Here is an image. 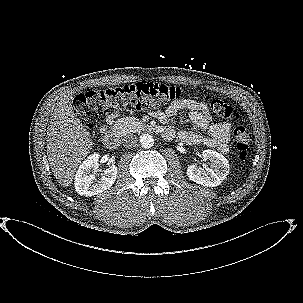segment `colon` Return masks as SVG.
<instances>
[{"label":"colon","mask_w":303,"mask_h":303,"mask_svg":"<svg viewBox=\"0 0 303 303\" xmlns=\"http://www.w3.org/2000/svg\"><path fill=\"white\" fill-rule=\"evenodd\" d=\"M182 90L173 85L155 82H139L101 90H89L77 95L73 102L75 112L93 129L98 120L113 111L124 109H156L178 100ZM211 111L221 120H236L238 114L232 107L218 99L210 100ZM237 156L244 160L248 155L251 134L243 127L234 132Z\"/></svg>","instance_id":"colon-1"}]
</instances>
